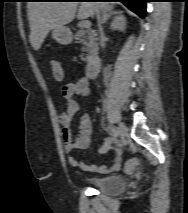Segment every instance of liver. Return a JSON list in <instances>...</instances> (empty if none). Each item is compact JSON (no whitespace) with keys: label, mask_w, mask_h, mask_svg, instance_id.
Wrapping results in <instances>:
<instances>
[{"label":"liver","mask_w":188,"mask_h":213,"mask_svg":"<svg viewBox=\"0 0 188 213\" xmlns=\"http://www.w3.org/2000/svg\"><path fill=\"white\" fill-rule=\"evenodd\" d=\"M78 18H93L97 10L112 9L107 2H28L27 15L30 24V43L38 51L50 30L70 23L77 12Z\"/></svg>","instance_id":"6515ba94"}]
</instances>
